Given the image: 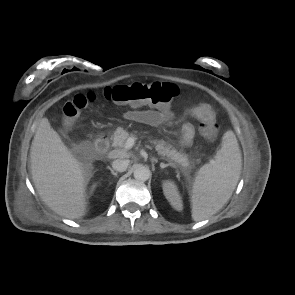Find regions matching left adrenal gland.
<instances>
[{
    "instance_id": "1",
    "label": "left adrenal gland",
    "mask_w": 295,
    "mask_h": 295,
    "mask_svg": "<svg viewBox=\"0 0 295 295\" xmlns=\"http://www.w3.org/2000/svg\"><path fill=\"white\" fill-rule=\"evenodd\" d=\"M169 166H172V164L171 163H168V164H164V163H160V168L161 169H164V168H167V167H169Z\"/></svg>"
}]
</instances>
